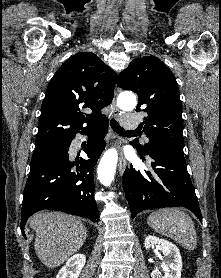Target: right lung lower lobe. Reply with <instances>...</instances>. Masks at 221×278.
Returning <instances> with one entry per match:
<instances>
[{
    "instance_id": "98d812e1",
    "label": "right lung lower lobe",
    "mask_w": 221,
    "mask_h": 278,
    "mask_svg": "<svg viewBox=\"0 0 221 278\" xmlns=\"http://www.w3.org/2000/svg\"><path fill=\"white\" fill-rule=\"evenodd\" d=\"M108 120L105 119L92 128L81 131L90 136L84 152L89 159L71 162L68 150L75 135L66 139L61 146L49 152L40 162L30 166V173L23 192V230L27 219L43 209L59 210L72 215L99 221L98 207L94 199L93 170L105 149V134ZM76 166V170L73 167ZM24 234V232H23Z\"/></svg>"
}]
</instances>
